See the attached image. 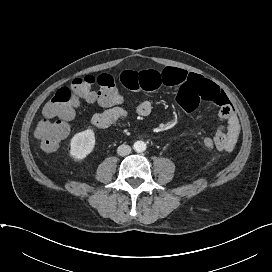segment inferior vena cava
I'll use <instances>...</instances> for the list:
<instances>
[{"instance_id": "1", "label": "inferior vena cava", "mask_w": 272, "mask_h": 272, "mask_svg": "<svg viewBox=\"0 0 272 272\" xmlns=\"http://www.w3.org/2000/svg\"><path fill=\"white\" fill-rule=\"evenodd\" d=\"M117 153L120 156H126L131 153V147L129 145L122 144L118 147Z\"/></svg>"}]
</instances>
